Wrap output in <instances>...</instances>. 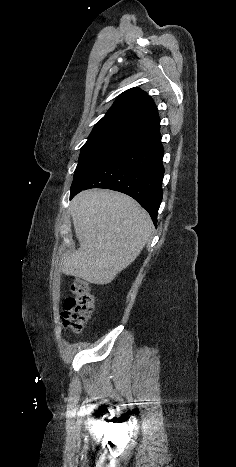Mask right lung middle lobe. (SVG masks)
Returning a JSON list of instances; mask_svg holds the SVG:
<instances>
[{
  "label": "right lung middle lobe",
  "mask_w": 236,
  "mask_h": 467,
  "mask_svg": "<svg viewBox=\"0 0 236 467\" xmlns=\"http://www.w3.org/2000/svg\"><path fill=\"white\" fill-rule=\"evenodd\" d=\"M138 135L136 131L120 127L93 128L87 142L81 148L72 185L76 184L97 163Z\"/></svg>",
  "instance_id": "dd1d6c3e"
}]
</instances>
